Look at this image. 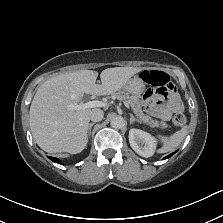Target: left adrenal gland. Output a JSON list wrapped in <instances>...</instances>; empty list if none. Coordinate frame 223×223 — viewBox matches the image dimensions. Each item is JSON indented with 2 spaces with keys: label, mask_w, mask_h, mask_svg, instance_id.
Instances as JSON below:
<instances>
[{
  "label": "left adrenal gland",
  "mask_w": 223,
  "mask_h": 223,
  "mask_svg": "<svg viewBox=\"0 0 223 223\" xmlns=\"http://www.w3.org/2000/svg\"><path fill=\"white\" fill-rule=\"evenodd\" d=\"M129 115H130V120H129V121H130V123H131V122H133V121H138V122H141V120H140V119L135 118V117L133 116V114H131V113H130Z\"/></svg>",
  "instance_id": "1"
}]
</instances>
